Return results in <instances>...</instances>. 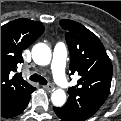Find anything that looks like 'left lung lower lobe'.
<instances>
[{
  "mask_svg": "<svg viewBox=\"0 0 121 121\" xmlns=\"http://www.w3.org/2000/svg\"><path fill=\"white\" fill-rule=\"evenodd\" d=\"M57 116L64 121H76L72 119L62 108L53 107Z\"/></svg>",
  "mask_w": 121,
  "mask_h": 121,
  "instance_id": "0a47b994",
  "label": "left lung lower lobe"
}]
</instances>
